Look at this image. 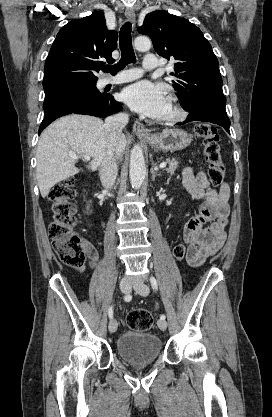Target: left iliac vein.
<instances>
[{
    "label": "left iliac vein",
    "mask_w": 272,
    "mask_h": 417,
    "mask_svg": "<svg viewBox=\"0 0 272 417\" xmlns=\"http://www.w3.org/2000/svg\"><path fill=\"white\" fill-rule=\"evenodd\" d=\"M133 288L141 296H147L150 292L149 287L143 282L134 283ZM157 325L162 331H165L167 328V322L165 319H159L157 321Z\"/></svg>",
    "instance_id": "4c4485c4"
}]
</instances>
